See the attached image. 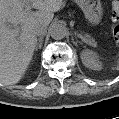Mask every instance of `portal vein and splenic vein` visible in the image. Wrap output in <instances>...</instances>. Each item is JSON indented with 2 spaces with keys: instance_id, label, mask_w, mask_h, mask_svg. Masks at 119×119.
Here are the masks:
<instances>
[{
  "instance_id": "18ae733b",
  "label": "portal vein and splenic vein",
  "mask_w": 119,
  "mask_h": 119,
  "mask_svg": "<svg viewBox=\"0 0 119 119\" xmlns=\"http://www.w3.org/2000/svg\"><path fill=\"white\" fill-rule=\"evenodd\" d=\"M29 11H30V8H29V7H26V13H29ZM78 36H79V38H80L82 41H84L85 43H88V44H90V45H93L91 41L87 40V39L84 38L83 36H81V35H78Z\"/></svg>"
}]
</instances>
